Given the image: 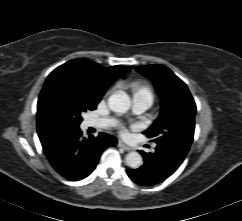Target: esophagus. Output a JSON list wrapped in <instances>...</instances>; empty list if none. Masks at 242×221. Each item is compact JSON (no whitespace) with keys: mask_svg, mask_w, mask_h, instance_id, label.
Returning a JSON list of instances; mask_svg holds the SVG:
<instances>
[{"mask_svg":"<svg viewBox=\"0 0 242 221\" xmlns=\"http://www.w3.org/2000/svg\"><path fill=\"white\" fill-rule=\"evenodd\" d=\"M118 147L123 148L125 151H131L132 150L131 147L125 145L122 141L118 142Z\"/></svg>","mask_w":242,"mask_h":221,"instance_id":"1","label":"esophagus"}]
</instances>
